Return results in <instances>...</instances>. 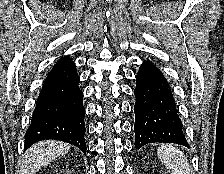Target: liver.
<instances>
[{
    "instance_id": "1",
    "label": "liver",
    "mask_w": 224,
    "mask_h": 174,
    "mask_svg": "<svg viewBox=\"0 0 224 174\" xmlns=\"http://www.w3.org/2000/svg\"><path fill=\"white\" fill-rule=\"evenodd\" d=\"M69 149V144L55 140L40 141L33 144L22 157L20 174H35Z\"/></svg>"
}]
</instances>
